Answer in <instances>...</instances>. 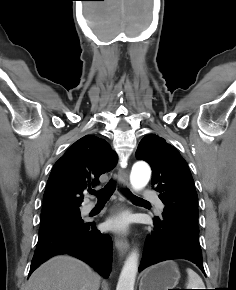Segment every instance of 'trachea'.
<instances>
[{
    "mask_svg": "<svg viewBox=\"0 0 236 290\" xmlns=\"http://www.w3.org/2000/svg\"><path fill=\"white\" fill-rule=\"evenodd\" d=\"M115 182L113 180H110L105 186L104 188H102L97 194V197H98V201L99 202H105L107 200H109V198L111 197V195L113 194L114 192V189H115ZM89 193L90 194H95V191L90 189L89 190ZM126 193L128 194V196H130L132 199L134 200H137V201H145L139 197H136L134 195H132L130 193V191L126 190Z\"/></svg>",
    "mask_w": 236,
    "mask_h": 290,
    "instance_id": "1",
    "label": "trachea"
}]
</instances>
